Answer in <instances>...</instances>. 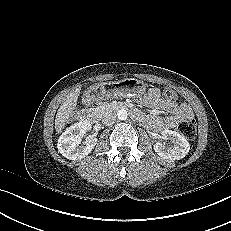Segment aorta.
I'll use <instances>...</instances> for the list:
<instances>
[{
    "label": "aorta",
    "mask_w": 231,
    "mask_h": 231,
    "mask_svg": "<svg viewBox=\"0 0 231 231\" xmlns=\"http://www.w3.org/2000/svg\"><path fill=\"white\" fill-rule=\"evenodd\" d=\"M117 116H118V119L119 120H126L127 117H128V113L126 110H119L118 113H117Z\"/></svg>",
    "instance_id": "aorta-1"
}]
</instances>
